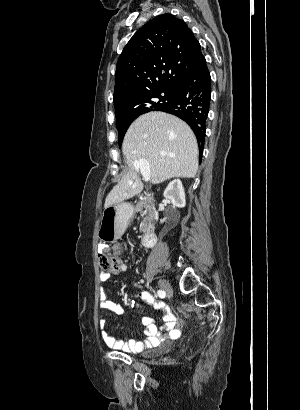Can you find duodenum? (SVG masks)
<instances>
[{
    "label": "duodenum",
    "mask_w": 300,
    "mask_h": 410,
    "mask_svg": "<svg viewBox=\"0 0 300 410\" xmlns=\"http://www.w3.org/2000/svg\"><path fill=\"white\" fill-rule=\"evenodd\" d=\"M157 241V234L154 232H147L141 239V245L145 248L153 247Z\"/></svg>",
    "instance_id": "duodenum-1"
}]
</instances>
